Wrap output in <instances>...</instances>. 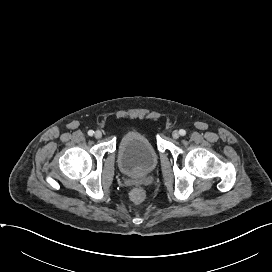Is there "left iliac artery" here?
Instances as JSON below:
<instances>
[{
    "label": "left iliac artery",
    "instance_id": "44dca946",
    "mask_svg": "<svg viewBox=\"0 0 272 272\" xmlns=\"http://www.w3.org/2000/svg\"><path fill=\"white\" fill-rule=\"evenodd\" d=\"M179 134L182 135V136H184L186 134V131L184 129H180L179 130Z\"/></svg>",
    "mask_w": 272,
    "mask_h": 272
}]
</instances>
